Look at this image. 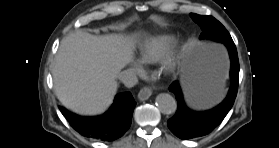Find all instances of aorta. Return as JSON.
Instances as JSON below:
<instances>
[{"label":"aorta","instance_id":"obj_1","mask_svg":"<svg viewBox=\"0 0 279 148\" xmlns=\"http://www.w3.org/2000/svg\"><path fill=\"white\" fill-rule=\"evenodd\" d=\"M156 106L162 113L172 114L176 111L177 102L172 95L161 93L156 97Z\"/></svg>","mask_w":279,"mask_h":148}]
</instances>
